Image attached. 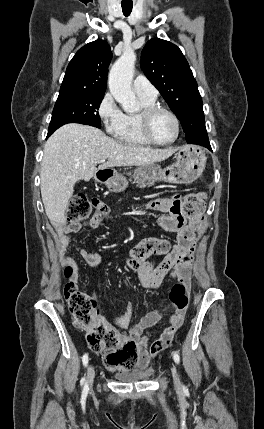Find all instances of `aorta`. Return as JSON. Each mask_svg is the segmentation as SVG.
Here are the masks:
<instances>
[{"mask_svg":"<svg viewBox=\"0 0 264 429\" xmlns=\"http://www.w3.org/2000/svg\"><path fill=\"white\" fill-rule=\"evenodd\" d=\"M135 61L134 51L126 50L113 64L108 79L111 94L127 113L134 112L138 104L131 87Z\"/></svg>","mask_w":264,"mask_h":429,"instance_id":"1","label":"aorta"}]
</instances>
